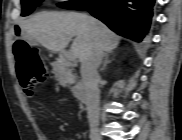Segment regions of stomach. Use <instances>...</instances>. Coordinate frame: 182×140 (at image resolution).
Instances as JSON below:
<instances>
[{
    "label": "stomach",
    "mask_w": 182,
    "mask_h": 140,
    "mask_svg": "<svg viewBox=\"0 0 182 140\" xmlns=\"http://www.w3.org/2000/svg\"><path fill=\"white\" fill-rule=\"evenodd\" d=\"M12 30H23L24 26L23 25H12L11 26ZM14 36L16 41H30V42H35L31 40V36H26V31H14Z\"/></svg>",
    "instance_id": "0dacf381"
}]
</instances>
